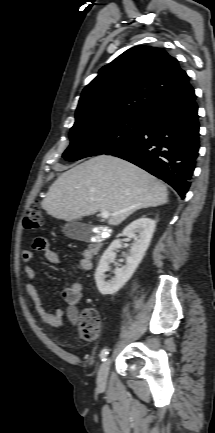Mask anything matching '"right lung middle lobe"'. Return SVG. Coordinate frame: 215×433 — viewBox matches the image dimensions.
<instances>
[{"label":"right lung middle lobe","mask_w":215,"mask_h":433,"mask_svg":"<svg viewBox=\"0 0 215 433\" xmlns=\"http://www.w3.org/2000/svg\"><path fill=\"white\" fill-rule=\"evenodd\" d=\"M142 125L143 115H125L88 123H76L69 134L71 144L62 157L67 161H76L106 154L135 139Z\"/></svg>","instance_id":"right-lung-middle-lobe-1"}]
</instances>
